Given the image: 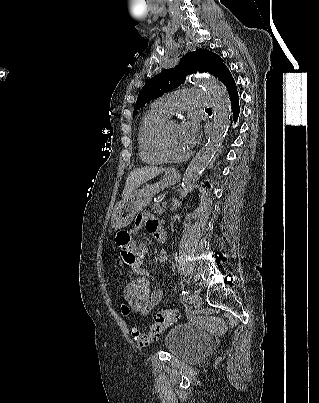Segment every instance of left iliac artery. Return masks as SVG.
<instances>
[{
	"mask_svg": "<svg viewBox=\"0 0 319 403\" xmlns=\"http://www.w3.org/2000/svg\"><path fill=\"white\" fill-rule=\"evenodd\" d=\"M181 298L184 302H190V296L186 290L182 291Z\"/></svg>",
	"mask_w": 319,
	"mask_h": 403,
	"instance_id": "obj_1",
	"label": "left iliac artery"
}]
</instances>
